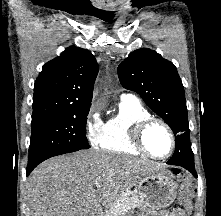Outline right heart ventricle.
<instances>
[{
	"mask_svg": "<svg viewBox=\"0 0 221 216\" xmlns=\"http://www.w3.org/2000/svg\"><path fill=\"white\" fill-rule=\"evenodd\" d=\"M151 116L136 98L121 99L117 113L103 124L99 146L108 152L143 155L132 142V131L137 123Z\"/></svg>",
	"mask_w": 221,
	"mask_h": 216,
	"instance_id": "e07e8e85",
	"label": "right heart ventricle"
}]
</instances>
